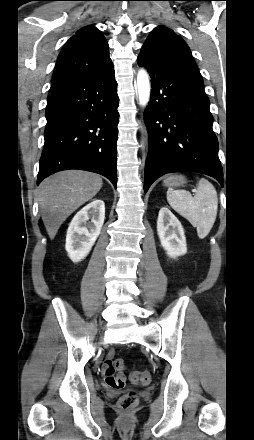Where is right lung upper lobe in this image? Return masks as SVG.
Returning a JSON list of instances; mask_svg holds the SVG:
<instances>
[{"label": "right lung upper lobe", "mask_w": 254, "mask_h": 440, "mask_svg": "<svg viewBox=\"0 0 254 440\" xmlns=\"http://www.w3.org/2000/svg\"><path fill=\"white\" fill-rule=\"evenodd\" d=\"M108 43L93 25L78 30L63 46L51 86L107 69L112 65Z\"/></svg>", "instance_id": "cb5924a9"}]
</instances>
